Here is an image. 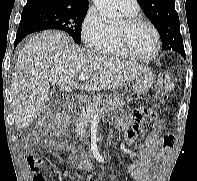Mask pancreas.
<instances>
[{"mask_svg": "<svg viewBox=\"0 0 197 181\" xmlns=\"http://www.w3.org/2000/svg\"><path fill=\"white\" fill-rule=\"evenodd\" d=\"M123 105L124 101L120 97L102 99V95L97 94L93 98V102L83 107L80 116L74 119L77 135L81 137L85 136L86 128L95 115L103 117L111 111L120 110Z\"/></svg>", "mask_w": 197, "mask_h": 181, "instance_id": "1", "label": "pancreas"}]
</instances>
